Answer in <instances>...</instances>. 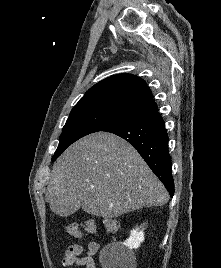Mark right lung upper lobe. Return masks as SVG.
<instances>
[{
    "label": "right lung upper lobe",
    "instance_id": "right-lung-upper-lobe-1",
    "mask_svg": "<svg viewBox=\"0 0 221 268\" xmlns=\"http://www.w3.org/2000/svg\"><path fill=\"white\" fill-rule=\"evenodd\" d=\"M84 110H105L129 121L156 112L158 107L144 80L118 74L91 87L71 112Z\"/></svg>",
    "mask_w": 221,
    "mask_h": 268
}]
</instances>
